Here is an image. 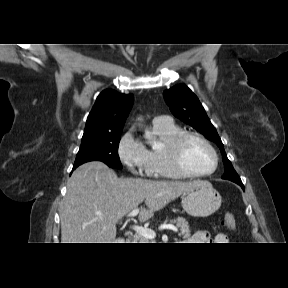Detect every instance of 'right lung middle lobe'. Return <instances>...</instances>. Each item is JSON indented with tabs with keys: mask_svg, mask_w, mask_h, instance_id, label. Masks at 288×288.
Masks as SVG:
<instances>
[{
	"mask_svg": "<svg viewBox=\"0 0 288 288\" xmlns=\"http://www.w3.org/2000/svg\"><path fill=\"white\" fill-rule=\"evenodd\" d=\"M120 136L121 132H116L99 138L82 140L73 169L89 161H101L109 167L121 169L118 156Z\"/></svg>",
	"mask_w": 288,
	"mask_h": 288,
	"instance_id": "dd1d6c3e",
	"label": "right lung middle lobe"
}]
</instances>
